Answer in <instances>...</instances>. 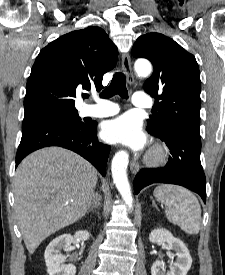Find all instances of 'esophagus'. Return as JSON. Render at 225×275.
Listing matches in <instances>:
<instances>
[{
    "label": "esophagus",
    "mask_w": 225,
    "mask_h": 275,
    "mask_svg": "<svg viewBox=\"0 0 225 275\" xmlns=\"http://www.w3.org/2000/svg\"><path fill=\"white\" fill-rule=\"evenodd\" d=\"M122 69L127 77L128 83L131 85L134 82L132 73L131 59L129 53L125 52L122 54ZM139 164L136 160H133L130 164L131 172L136 174L139 171Z\"/></svg>",
    "instance_id": "34e87169"
}]
</instances>
